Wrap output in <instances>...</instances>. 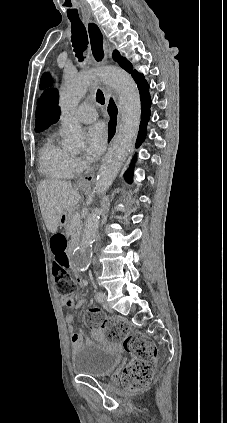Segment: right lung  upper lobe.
Returning <instances> with one entry per match:
<instances>
[{
	"label": "right lung upper lobe",
	"instance_id": "cb5924a9",
	"mask_svg": "<svg viewBox=\"0 0 227 423\" xmlns=\"http://www.w3.org/2000/svg\"><path fill=\"white\" fill-rule=\"evenodd\" d=\"M51 82V80H50V75H48V74H45V75H43L42 76V78H41V84H40V86L41 87H45L47 84H49Z\"/></svg>",
	"mask_w": 227,
	"mask_h": 423
}]
</instances>
